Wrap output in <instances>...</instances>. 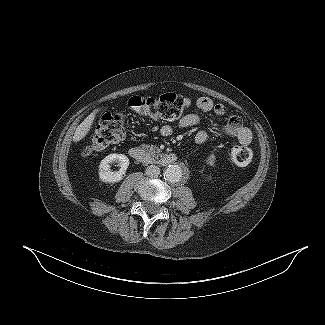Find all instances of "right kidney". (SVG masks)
<instances>
[{"label":"right kidney","mask_w":325,"mask_h":325,"mask_svg":"<svg viewBox=\"0 0 325 325\" xmlns=\"http://www.w3.org/2000/svg\"><path fill=\"white\" fill-rule=\"evenodd\" d=\"M118 162L120 169L112 172L110 170V163ZM129 166V159L124 154H110L101 160L99 164V178L104 182L115 183L121 181Z\"/></svg>","instance_id":"right-kidney-1"}]
</instances>
